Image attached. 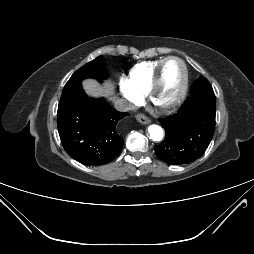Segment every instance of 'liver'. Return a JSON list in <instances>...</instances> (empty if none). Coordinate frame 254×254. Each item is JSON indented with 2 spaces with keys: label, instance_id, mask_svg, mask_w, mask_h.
<instances>
[{
  "label": "liver",
  "instance_id": "obj_1",
  "mask_svg": "<svg viewBox=\"0 0 254 254\" xmlns=\"http://www.w3.org/2000/svg\"><path fill=\"white\" fill-rule=\"evenodd\" d=\"M83 86L86 92L92 96H99L101 93H105V95L108 96L113 89L111 85L100 87L95 80H91V79L85 80L83 82Z\"/></svg>",
  "mask_w": 254,
  "mask_h": 254
}]
</instances>
